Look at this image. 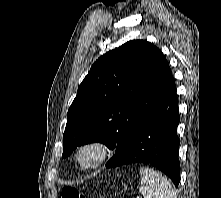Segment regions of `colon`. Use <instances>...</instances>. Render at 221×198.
<instances>
[{
    "label": "colon",
    "instance_id": "colon-1",
    "mask_svg": "<svg viewBox=\"0 0 221 198\" xmlns=\"http://www.w3.org/2000/svg\"><path fill=\"white\" fill-rule=\"evenodd\" d=\"M61 193L62 198H87L84 194L80 193L73 187H64Z\"/></svg>",
    "mask_w": 221,
    "mask_h": 198
}]
</instances>
